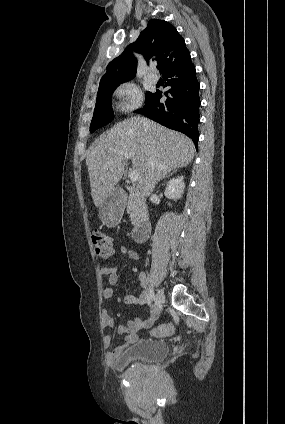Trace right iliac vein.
Returning <instances> with one entry per match:
<instances>
[{
	"instance_id": "1",
	"label": "right iliac vein",
	"mask_w": 285,
	"mask_h": 424,
	"mask_svg": "<svg viewBox=\"0 0 285 424\" xmlns=\"http://www.w3.org/2000/svg\"><path fill=\"white\" fill-rule=\"evenodd\" d=\"M164 302H165L164 293L161 290H157V292H156V304H157L158 308L154 310V315H153L154 321L158 318L159 309L162 307V304Z\"/></svg>"
}]
</instances>
